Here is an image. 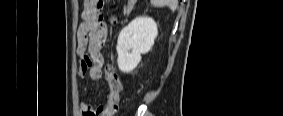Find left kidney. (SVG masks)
<instances>
[{
  "label": "left kidney",
  "instance_id": "left-kidney-1",
  "mask_svg": "<svg viewBox=\"0 0 283 116\" xmlns=\"http://www.w3.org/2000/svg\"><path fill=\"white\" fill-rule=\"evenodd\" d=\"M157 35V24L150 17H137L124 27L119 34L116 47L120 71H133L141 61V54L151 50Z\"/></svg>",
  "mask_w": 283,
  "mask_h": 116
}]
</instances>
